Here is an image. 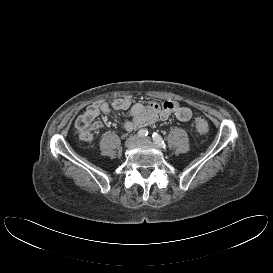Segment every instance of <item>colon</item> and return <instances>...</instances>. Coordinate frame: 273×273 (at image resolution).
<instances>
[{
  "label": "colon",
  "mask_w": 273,
  "mask_h": 273,
  "mask_svg": "<svg viewBox=\"0 0 273 273\" xmlns=\"http://www.w3.org/2000/svg\"><path fill=\"white\" fill-rule=\"evenodd\" d=\"M194 122H195V126H196V129L198 130V132H200L202 134L208 133L209 124L204 117L198 116L195 118Z\"/></svg>",
  "instance_id": "colon-1"
}]
</instances>
